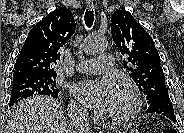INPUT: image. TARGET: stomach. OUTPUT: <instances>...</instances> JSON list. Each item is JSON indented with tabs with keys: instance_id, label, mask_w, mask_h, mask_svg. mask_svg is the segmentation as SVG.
<instances>
[{
	"instance_id": "stomach-1",
	"label": "stomach",
	"mask_w": 184,
	"mask_h": 133,
	"mask_svg": "<svg viewBox=\"0 0 184 133\" xmlns=\"http://www.w3.org/2000/svg\"><path fill=\"white\" fill-rule=\"evenodd\" d=\"M130 133H138L137 131H133V132H130Z\"/></svg>"
}]
</instances>
